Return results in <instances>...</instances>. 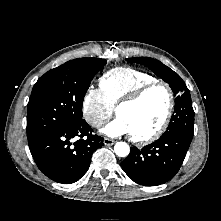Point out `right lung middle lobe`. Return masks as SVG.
<instances>
[{
	"mask_svg": "<svg viewBox=\"0 0 221 221\" xmlns=\"http://www.w3.org/2000/svg\"><path fill=\"white\" fill-rule=\"evenodd\" d=\"M105 59L70 60L45 73L27 104V137L32 145L47 133L82 119L85 93Z\"/></svg>",
	"mask_w": 221,
	"mask_h": 221,
	"instance_id": "right-lung-middle-lobe-1",
	"label": "right lung middle lobe"
}]
</instances>
